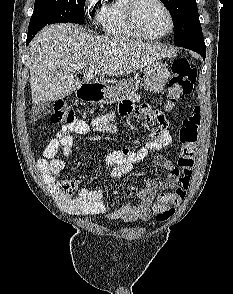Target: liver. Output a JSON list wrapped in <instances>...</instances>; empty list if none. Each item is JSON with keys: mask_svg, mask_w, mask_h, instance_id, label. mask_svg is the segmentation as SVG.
I'll list each match as a JSON object with an SVG mask.
<instances>
[{"mask_svg": "<svg viewBox=\"0 0 233 294\" xmlns=\"http://www.w3.org/2000/svg\"><path fill=\"white\" fill-rule=\"evenodd\" d=\"M32 102L56 101L78 90L82 81L74 66H88L83 82L96 75L124 76L173 53L158 43L125 37L94 36L74 24H54L41 30L29 45Z\"/></svg>", "mask_w": 233, "mask_h": 294, "instance_id": "6515ba94", "label": "liver"}]
</instances>
